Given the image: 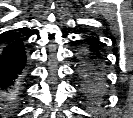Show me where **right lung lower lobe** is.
<instances>
[{"label": "right lung lower lobe", "instance_id": "right-lung-lower-lobe-1", "mask_svg": "<svg viewBox=\"0 0 133 118\" xmlns=\"http://www.w3.org/2000/svg\"><path fill=\"white\" fill-rule=\"evenodd\" d=\"M26 54L21 39L7 44L0 54V102L9 106L25 75Z\"/></svg>", "mask_w": 133, "mask_h": 118}]
</instances>
